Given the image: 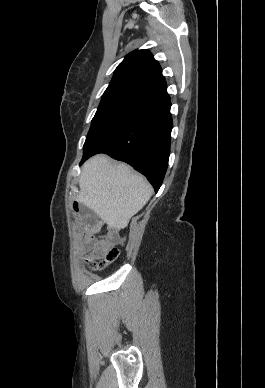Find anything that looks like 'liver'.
I'll return each instance as SVG.
<instances>
[{
    "mask_svg": "<svg viewBox=\"0 0 265 388\" xmlns=\"http://www.w3.org/2000/svg\"><path fill=\"white\" fill-rule=\"evenodd\" d=\"M77 202L93 210L117 232L127 228L132 216L146 206L153 188L126 164H112L108 156H93L85 162Z\"/></svg>",
    "mask_w": 265,
    "mask_h": 388,
    "instance_id": "1",
    "label": "liver"
}]
</instances>
